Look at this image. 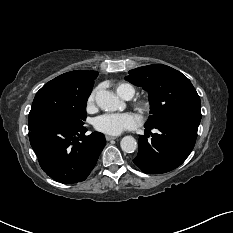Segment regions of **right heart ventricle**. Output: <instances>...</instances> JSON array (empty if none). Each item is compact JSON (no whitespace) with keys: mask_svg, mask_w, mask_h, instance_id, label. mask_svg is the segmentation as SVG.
<instances>
[{"mask_svg":"<svg viewBox=\"0 0 233 233\" xmlns=\"http://www.w3.org/2000/svg\"><path fill=\"white\" fill-rule=\"evenodd\" d=\"M116 91L118 93L119 96H121L122 98H128V97H133V95L135 94V88L128 83H120L116 86Z\"/></svg>","mask_w":233,"mask_h":233,"instance_id":"obj_1","label":"right heart ventricle"}]
</instances>
